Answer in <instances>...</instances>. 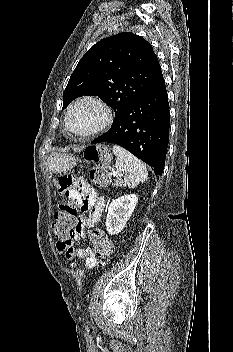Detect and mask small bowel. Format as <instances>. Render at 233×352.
<instances>
[{
  "mask_svg": "<svg viewBox=\"0 0 233 352\" xmlns=\"http://www.w3.org/2000/svg\"><path fill=\"white\" fill-rule=\"evenodd\" d=\"M60 197L70 198L80 206L79 216L66 244L58 241L57 249L68 260L84 258L87 266H92L95 256L91 248H77L73 244L84 238L85 230L94 227L101 219L104 209V199L85 181H76L69 175H64L57 182Z\"/></svg>",
  "mask_w": 233,
  "mask_h": 352,
  "instance_id": "1",
  "label": "small bowel"
}]
</instances>
